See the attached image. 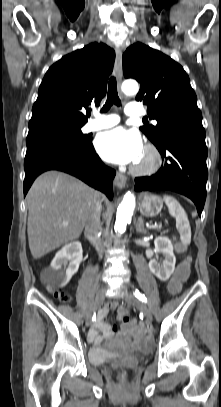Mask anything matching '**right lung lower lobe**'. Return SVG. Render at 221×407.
<instances>
[{
  "mask_svg": "<svg viewBox=\"0 0 221 407\" xmlns=\"http://www.w3.org/2000/svg\"><path fill=\"white\" fill-rule=\"evenodd\" d=\"M24 196L35 178L47 170L69 173L113 198L116 172L105 166L91 143L80 147L67 139L39 137L26 141Z\"/></svg>",
  "mask_w": 221,
  "mask_h": 407,
  "instance_id": "98d812e1",
  "label": "right lung lower lobe"
}]
</instances>
